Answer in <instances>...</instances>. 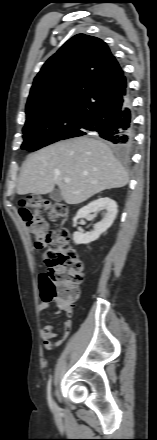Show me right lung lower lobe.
Returning <instances> with one entry per match:
<instances>
[{
	"instance_id": "right-lung-lower-lobe-1",
	"label": "right lung lower lobe",
	"mask_w": 157,
	"mask_h": 440,
	"mask_svg": "<svg viewBox=\"0 0 157 440\" xmlns=\"http://www.w3.org/2000/svg\"><path fill=\"white\" fill-rule=\"evenodd\" d=\"M83 129V135L87 131H96L100 137L121 149H130L134 142V128L129 94L116 106L102 110L93 116L89 122L84 124Z\"/></svg>"
}]
</instances>
